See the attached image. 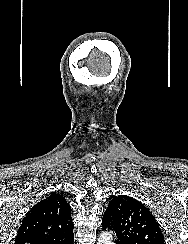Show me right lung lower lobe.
<instances>
[{
    "mask_svg": "<svg viewBox=\"0 0 188 244\" xmlns=\"http://www.w3.org/2000/svg\"><path fill=\"white\" fill-rule=\"evenodd\" d=\"M63 244H74V235L71 236L66 242H64Z\"/></svg>",
    "mask_w": 188,
    "mask_h": 244,
    "instance_id": "98d812e1",
    "label": "right lung lower lobe"
}]
</instances>
